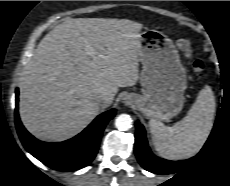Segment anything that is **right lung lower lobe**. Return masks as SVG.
<instances>
[{
	"instance_id": "right-lung-lower-lobe-1",
	"label": "right lung lower lobe",
	"mask_w": 230,
	"mask_h": 186,
	"mask_svg": "<svg viewBox=\"0 0 230 186\" xmlns=\"http://www.w3.org/2000/svg\"><path fill=\"white\" fill-rule=\"evenodd\" d=\"M16 89L15 122L19 137L26 150L46 166L71 172L90 164L97 154L102 132L116 113L115 109L99 115L83 132L59 143H45L34 138L22 125L18 115Z\"/></svg>"
}]
</instances>
